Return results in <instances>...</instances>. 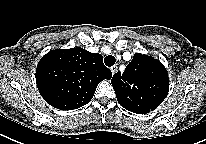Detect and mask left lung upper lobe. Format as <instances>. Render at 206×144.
<instances>
[{
    "mask_svg": "<svg viewBox=\"0 0 206 144\" xmlns=\"http://www.w3.org/2000/svg\"><path fill=\"white\" fill-rule=\"evenodd\" d=\"M112 86L119 104L128 111L146 114L155 110L169 90L164 65L151 56L136 53L125 71L117 72Z\"/></svg>",
    "mask_w": 206,
    "mask_h": 144,
    "instance_id": "obj_1",
    "label": "left lung upper lobe"
}]
</instances>
